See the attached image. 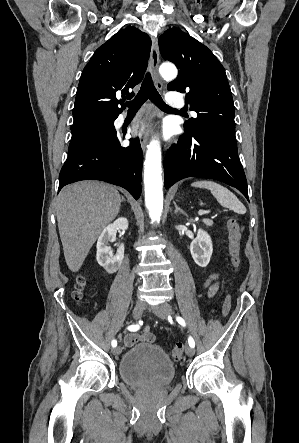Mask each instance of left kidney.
I'll return each instance as SVG.
<instances>
[{"mask_svg": "<svg viewBox=\"0 0 299 443\" xmlns=\"http://www.w3.org/2000/svg\"><path fill=\"white\" fill-rule=\"evenodd\" d=\"M190 252L195 263L200 267H206L213 252L212 240L207 232L199 229L197 237L190 244Z\"/></svg>", "mask_w": 299, "mask_h": 443, "instance_id": "5707ae66", "label": "left kidney"}]
</instances>
